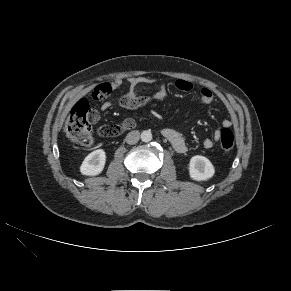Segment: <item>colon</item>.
I'll list each match as a JSON object with an SVG mask.
<instances>
[{"label": "colon", "instance_id": "1", "mask_svg": "<svg viewBox=\"0 0 291 291\" xmlns=\"http://www.w3.org/2000/svg\"><path fill=\"white\" fill-rule=\"evenodd\" d=\"M105 87H96L92 97L94 100H101L106 96ZM96 111L90 108L87 100L81 99L73 106L65 125L67 138L74 143L89 145L91 143V124L96 121ZM135 121L131 118L125 119L121 125H106L99 128L102 137H115L125 130L132 129ZM220 145L224 151L234 148L235 138L233 132L224 128L220 132Z\"/></svg>", "mask_w": 291, "mask_h": 291}]
</instances>
